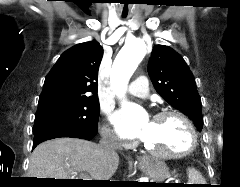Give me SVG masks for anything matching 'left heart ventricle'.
Wrapping results in <instances>:
<instances>
[{
    "label": "left heart ventricle",
    "mask_w": 240,
    "mask_h": 187,
    "mask_svg": "<svg viewBox=\"0 0 240 187\" xmlns=\"http://www.w3.org/2000/svg\"><path fill=\"white\" fill-rule=\"evenodd\" d=\"M142 127L148 132L146 143L154 151L177 152L188 146L186 128L175 116L144 122Z\"/></svg>",
    "instance_id": "obj_1"
}]
</instances>
